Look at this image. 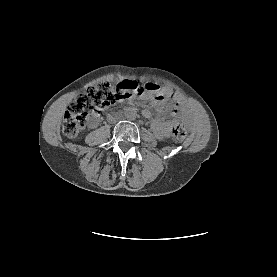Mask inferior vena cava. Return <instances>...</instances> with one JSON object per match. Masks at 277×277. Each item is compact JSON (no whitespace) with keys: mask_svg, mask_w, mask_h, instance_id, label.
<instances>
[{"mask_svg":"<svg viewBox=\"0 0 277 277\" xmlns=\"http://www.w3.org/2000/svg\"><path fill=\"white\" fill-rule=\"evenodd\" d=\"M121 118V115H119L118 113H112V114H108L107 119L110 122H116Z\"/></svg>","mask_w":277,"mask_h":277,"instance_id":"inferior-vena-cava-1","label":"inferior vena cava"}]
</instances>
